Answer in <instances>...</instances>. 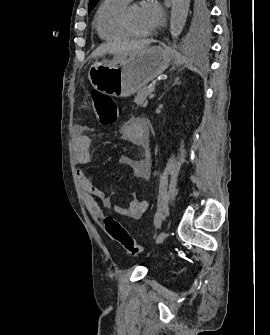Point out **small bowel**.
<instances>
[{
  "instance_id": "1",
  "label": "small bowel",
  "mask_w": 270,
  "mask_h": 335,
  "mask_svg": "<svg viewBox=\"0 0 270 335\" xmlns=\"http://www.w3.org/2000/svg\"><path fill=\"white\" fill-rule=\"evenodd\" d=\"M73 138L75 161L80 165L89 164L91 162V139L86 132V127L80 124L76 125L73 129ZM122 138L136 147L146 148L149 138V128L146 121L137 118L126 122L122 127ZM122 160L132 169L134 176L137 178H150L151 160L148 154L141 159L125 156ZM76 175L84 192L86 208L95 220H100L104 216L103 207H110L113 204L111 197L97 187L82 169H78ZM97 199L101 201V204L98 203ZM147 208L148 202L146 200H138L136 197H132L128 205H116L115 211L123 217L139 219L144 215Z\"/></svg>"
}]
</instances>
